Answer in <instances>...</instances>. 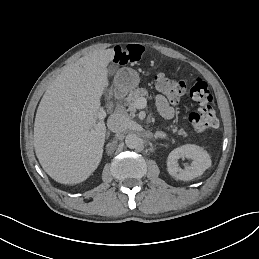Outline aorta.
Masks as SVG:
<instances>
[{
  "label": "aorta",
  "mask_w": 259,
  "mask_h": 259,
  "mask_svg": "<svg viewBox=\"0 0 259 259\" xmlns=\"http://www.w3.org/2000/svg\"><path fill=\"white\" fill-rule=\"evenodd\" d=\"M125 144L130 149H136L141 145V139L138 135L131 133L126 136Z\"/></svg>",
  "instance_id": "obj_1"
}]
</instances>
